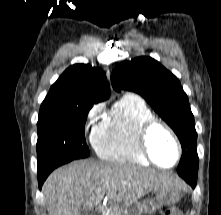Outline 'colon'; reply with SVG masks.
<instances>
[{
  "mask_svg": "<svg viewBox=\"0 0 221 215\" xmlns=\"http://www.w3.org/2000/svg\"><path fill=\"white\" fill-rule=\"evenodd\" d=\"M162 215H182V213L179 208L171 207L164 210Z\"/></svg>",
  "mask_w": 221,
  "mask_h": 215,
  "instance_id": "colon-1",
  "label": "colon"
}]
</instances>
